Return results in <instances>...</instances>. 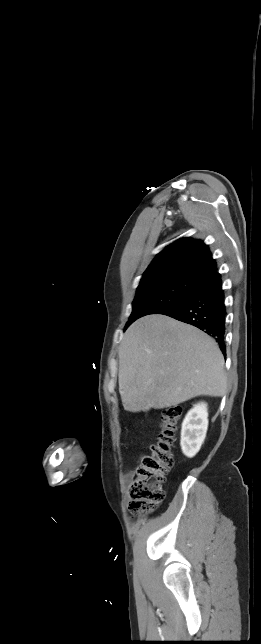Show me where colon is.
Returning a JSON list of instances; mask_svg holds the SVG:
<instances>
[{
	"instance_id": "1",
	"label": "colon",
	"mask_w": 261,
	"mask_h": 644,
	"mask_svg": "<svg viewBox=\"0 0 261 644\" xmlns=\"http://www.w3.org/2000/svg\"><path fill=\"white\" fill-rule=\"evenodd\" d=\"M181 414L180 406H170L162 412L158 440L151 446V454L142 459L130 486V508L135 515L154 511L164 499L163 485L174 464L173 446Z\"/></svg>"
}]
</instances>
